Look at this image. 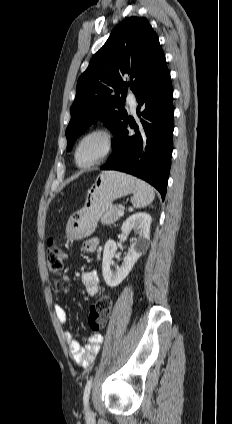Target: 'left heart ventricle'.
Here are the masks:
<instances>
[{
  "mask_svg": "<svg viewBox=\"0 0 232 424\" xmlns=\"http://www.w3.org/2000/svg\"><path fill=\"white\" fill-rule=\"evenodd\" d=\"M104 141L101 136L93 135L83 141L79 149V157L82 162H88L96 158L103 150Z\"/></svg>",
  "mask_w": 232,
  "mask_h": 424,
  "instance_id": "obj_1",
  "label": "left heart ventricle"
}]
</instances>
